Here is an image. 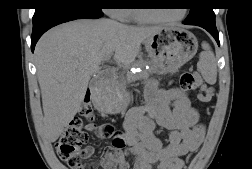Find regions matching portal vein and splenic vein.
Here are the masks:
<instances>
[{"instance_id": "1", "label": "portal vein and splenic vein", "mask_w": 252, "mask_h": 169, "mask_svg": "<svg viewBox=\"0 0 252 169\" xmlns=\"http://www.w3.org/2000/svg\"><path fill=\"white\" fill-rule=\"evenodd\" d=\"M112 55H107L104 57L103 61H109L111 59Z\"/></svg>"}]
</instances>
